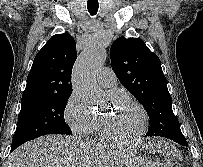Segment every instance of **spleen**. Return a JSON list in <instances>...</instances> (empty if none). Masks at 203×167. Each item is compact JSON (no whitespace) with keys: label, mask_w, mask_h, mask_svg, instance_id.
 <instances>
[{"label":"spleen","mask_w":203,"mask_h":167,"mask_svg":"<svg viewBox=\"0 0 203 167\" xmlns=\"http://www.w3.org/2000/svg\"><path fill=\"white\" fill-rule=\"evenodd\" d=\"M156 150L159 152L167 153V154H175L176 155V149L170 145L168 142H162L158 141L156 144Z\"/></svg>","instance_id":"3e777b00"}]
</instances>
